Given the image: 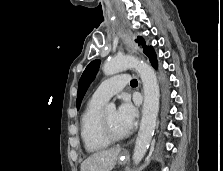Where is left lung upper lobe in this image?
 Masks as SVG:
<instances>
[{
    "mask_svg": "<svg viewBox=\"0 0 223 171\" xmlns=\"http://www.w3.org/2000/svg\"><path fill=\"white\" fill-rule=\"evenodd\" d=\"M139 45L142 44L144 46L145 42L141 37H138L137 40ZM148 46H144V53H146V51L148 50ZM100 66V61L99 60H94L92 61L84 70L80 80H79V84H78V94H77V109L80 108L81 105V101L89 87V85L91 84V82L94 80L97 71L99 69Z\"/></svg>",
    "mask_w": 223,
    "mask_h": 171,
    "instance_id": "1",
    "label": "left lung upper lobe"
}]
</instances>
